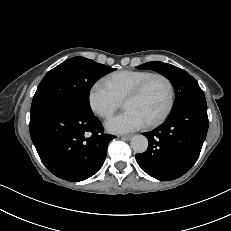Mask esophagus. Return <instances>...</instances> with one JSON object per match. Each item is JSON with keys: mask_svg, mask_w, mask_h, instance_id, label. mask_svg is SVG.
<instances>
[{"mask_svg": "<svg viewBox=\"0 0 231 231\" xmlns=\"http://www.w3.org/2000/svg\"><path fill=\"white\" fill-rule=\"evenodd\" d=\"M132 135H122L121 138L125 140L131 139Z\"/></svg>", "mask_w": 231, "mask_h": 231, "instance_id": "34e87169", "label": "esophagus"}]
</instances>
